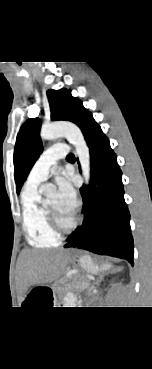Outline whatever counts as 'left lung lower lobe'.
<instances>
[{"mask_svg": "<svg viewBox=\"0 0 152 369\" xmlns=\"http://www.w3.org/2000/svg\"><path fill=\"white\" fill-rule=\"evenodd\" d=\"M89 146L91 179L80 189L84 221L64 246L126 259L133 265L130 214L124 200L122 172L109 139L90 115L81 127Z\"/></svg>", "mask_w": 152, "mask_h": 369, "instance_id": "obj_1", "label": "left lung lower lobe"}]
</instances>
